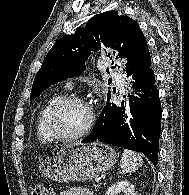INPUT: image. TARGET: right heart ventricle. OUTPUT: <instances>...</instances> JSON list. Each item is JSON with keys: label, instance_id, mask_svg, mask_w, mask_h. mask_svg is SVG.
<instances>
[{"label": "right heart ventricle", "instance_id": "1", "mask_svg": "<svg viewBox=\"0 0 189 195\" xmlns=\"http://www.w3.org/2000/svg\"><path fill=\"white\" fill-rule=\"evenodd\" d=\"M65 98V92H60L57 94L52 95L42 106L40 111L37 114L36 121H35V127H36V134L40 141L42 142H51L55 140L51 134L49 133L47 126H46V119L48 116L49 111L52 109V107Z\"/></svg>", "mask_w": 189, "mask_h": 195}]
</instances>
